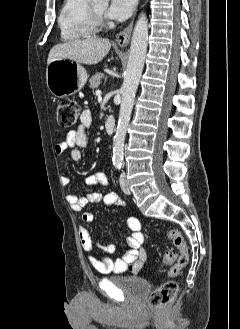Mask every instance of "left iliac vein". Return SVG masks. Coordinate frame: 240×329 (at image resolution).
<instances>
[{
  "mask_svg": "<svg viewBox=\"0 0 240 329\" xmlns=\"http://www.w3.org/2000/svg\"><path fill=\"white\" fill-rule=\"evenodd\" d=\"M120 185L125 194L129 195L131 193L125 174H121L120 176Z\"/></svg>",
  "mask_w": 240,
  "mask_h": 329,
  "instance_id": "4c4485c4",
  "label": "left iliac vein"
}]
</instances>
